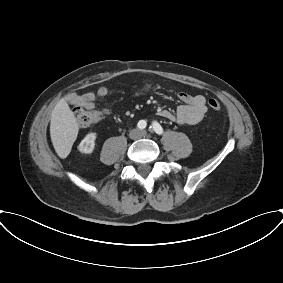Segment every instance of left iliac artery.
<instances>
[{"instance_id":"44dca946","label":"left iliac artery","mask_w":283,"mask_h":283,"mask_svg":"<svg viewBox=\"0 0 283 283\" xmlns=\"http://www.w3.org/2000/svg\"><path fill=\"white\" fill-rule=\"evenodd\" d=\"M151 128V127H150ZM152 130L157 133L158 135H161L163 133V128L158 122H153L152 124Z\"/></svg>"}]
</instances>
